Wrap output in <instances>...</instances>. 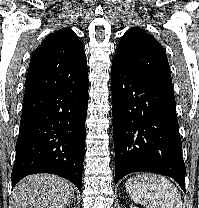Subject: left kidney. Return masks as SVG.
<instances>
[{"label":"left kidney","mask_w":199,"mask_h":208,"mask_svg":"<svg viewBox=\"0 0 199 208\" xmlns=\"http://www.w3.org/2000/svg\"><path fill=\"white\" fill-rule=\"evenodd\" d=\"M130 208H138V207H136V206H130Z\"/></svg>","instance_id":"5707ae66"}]
</instances>
